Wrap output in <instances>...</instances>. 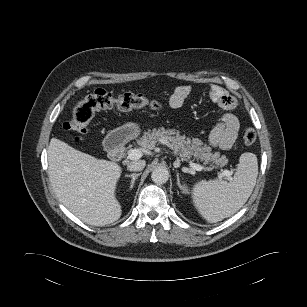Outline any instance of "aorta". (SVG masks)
Returning a JSON list of instances; mask_svg holds the SVG:
<instances>
[{
	"mask_svg": "<svg viewBox=\"0 0 307 307\" xmlns=\"http://www.w3.org/2000/svg\"><path fill=\"white\" fill-rule=\"evenodd\" d=\"M151 178L156 184H164L169 179V172L164 167H157L152 171Z\"/></svg>",
	"mask_w": 307,
	"mask_h": 307,
	"instance_id": "762f6f07",
	"label": "aorta"
}]
</instances>
